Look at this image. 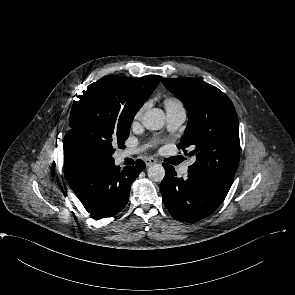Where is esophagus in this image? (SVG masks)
Masks as SVG:
<instances>
[{"label":"esophagus","instance_id":"1","mask_svg":"<svg viewBox=\"0 0 295 295\" xmlns=\"http://www.w3.org/2000/svg\"><path fill=\"white\" fill-rule=\"evenodd\" d=\"M157 162H158V160L153 158V157L145 158V163H146L147 166H151L153 164H156Z\"/></svg>","mask_w":295,"mask_h":295}]
</instances>
